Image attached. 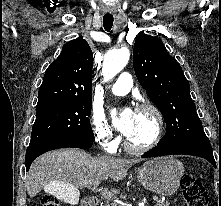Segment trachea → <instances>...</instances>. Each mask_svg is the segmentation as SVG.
<instances>
[{
  "instance_id": "3493384b",
  "label": "trachea",
  "mask_w": 221,
  "mask_h": 206,
  "mask_svg": "<svg viewBox=\"0 0 221 206\" xmlns=\"http://www.w3.org/2000/svg\"><path fill=\"white\" fill-rule=\"evenodd\" d=\"M113 25V16L112 15H105L103 17V26L106 31H110Z\"/></svg>"
}]
</instances>
